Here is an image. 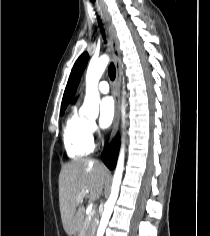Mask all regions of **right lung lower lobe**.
Here are the masks:
<instances>
[{
	"label": "right lung lower lobe",
	"instance_id": "98d812e1",
	"mask_svg": "<svg viewBox=\"0 0 210 236\" xmlns=\"http://www.w3.org/2000/svg\"><path fill=\"white\" fill-rule=\"evenodd\" d=\"M119 138L117 137L102 153V160L108 168L113 169L116 166V161L119 151Z\"/></svg>",
	"mask_w": 210,
	"mask_h": 236
}]
</instances>
